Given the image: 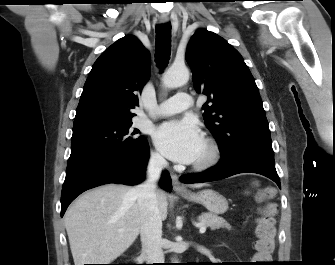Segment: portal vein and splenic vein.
<instances>
[{
  "instance_id": "18ae733b",
  "label": "portal vein and splenic vein",
  "mask_w": 335,
  "mask_h": 265,
  "mask_svg": "<svg viewBox=\"0 0 335 265\" xmlns=\"http://www.w3.org/2000/svg\"><path fill=\"white\" fill-rule=\"evenodd\" d=\"M206 231V226L204 224H200L199 226V232L203 234Z\"/></svg>"
}]
</instances>
